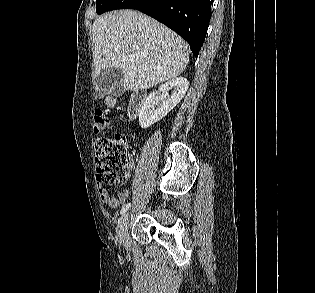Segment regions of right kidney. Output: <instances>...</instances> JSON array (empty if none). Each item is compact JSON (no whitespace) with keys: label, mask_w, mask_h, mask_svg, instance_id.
<instances>
[{"label":"right kidney","mask_w":315,"mask_h":293,"mask_svg":"<svg viewBox=\"0 0 315 293\" xmlns=\"http://www.w3.org/2000/svg\"><path fill=\"white\" fill-rule=\"evenodd\" d=\"M189 82L184 77L174 78L161 85L156 93H151L144 101L139 113V125L148 128L164 118L184 97ZM160 95L161 105L153 108L156 96Z\"/></svg>","instance_id":"right-kidney-1"}]
</instances>
